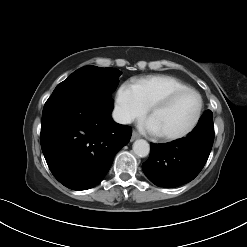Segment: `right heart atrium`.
I'll return each mask as SVG.
<instances>
[{"label": "right heart atrium", "mask_w": 247, "mask_h": 247, "mask_svg": "<svg viewBox=\"0 0 247 247\" xmlns=\"http://www.w3.org/2000/svg\"><path fill=\"white\" fill-rule=\"evenodd\" d=\"M146 111L147 108L143 105L136 86L127 82L123 83L115 99V112L119 120L130 123L144 116Z\"/></svg>", "instance_id": "obj_1"}]
</instances>
